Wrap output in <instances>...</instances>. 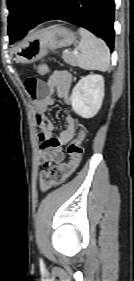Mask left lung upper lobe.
Here are the masks:
<instances>
[{"label":"left lung upper lobe","mask_w":134,"mask_h":281,"mask_svg":"<svg viewBox=\"0 0 134 281\" xmlns=\"http://www.w3.org/2000/svg\"><path fill=\"white\" fill-rule=\"evenodd\" d=\"M47 1L48 0H7V7L10 11L8 17V35L10 37V43L24 36L33 25Z\"/></svg>","instance_id":"left-lung-upper-lobe-1"}]
</instances>
